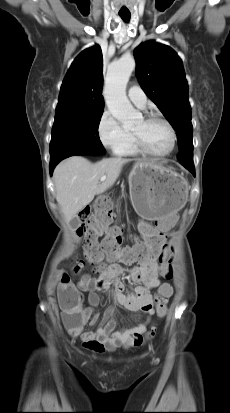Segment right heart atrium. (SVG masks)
Segmentation results:
<instances>
[{
  "mask_svg": "<svg viewBox=\"0 0 230 413\" xmlns=\"http://www.w3.org/2000/svg\"><path fill=\"white\" fill-rule=\"evenodd\" d=\"M97 132L102 145L113 153H119L132 138V134L108 110L102 113Z\"/></svg>",
  "mask_w": 230,
  "mask_h": 413,
  "instance_id": "obj_1",
  "label": "right heart atrium"
}]
</instances>
